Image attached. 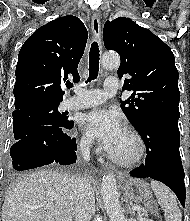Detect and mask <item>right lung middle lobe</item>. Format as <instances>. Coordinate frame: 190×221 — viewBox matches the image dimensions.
Listing matches in <instances>:
<instances>
[{"label":"right lung middle lobe","instance_id":"dd1d6c3e","mask_svg":"<svg viewBox=\"0 0 190 221\" xmlns=\"http://www.w3.org/2000/svg\"><path fill=\"white\" fill-rule=\"evenodd\" d=\"M59 103L33 106L25 111L13 114V132L15 140L24 138L35 128L42 125L65 126L73 121L58 112Z\"/></svg>","mask_w":190,"mask_h":221}]
</instances>
